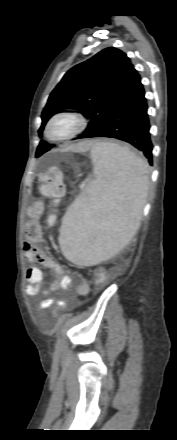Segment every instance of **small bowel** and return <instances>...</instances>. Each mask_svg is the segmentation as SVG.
<instances>
[{
  "label": "small bowel",
  "instance_id": "c3829d8e",
  "mask_svg": "<svg viewBox=\"0 0 177 440\" xmlns=\"http://www.w3.org/2000/svg\"><path fill=\"white\" fill-rule=\"evenodd\" d=\"M45 213V204L42 201H36L27 209L30 220L27 223L28 240L24 245V257L30 264L26 270V293L29 296H36L39 293L41 284L44 282V276L37 264L51 270L54 273V283L46 286L42 294L49 296L60 289H68L73 279L67 275L60 264L46 251L41 239L40 220ZM78 296H86L90 287L86 281L79 280L75 287ZM54 305H63L62 301L53 298H46L37 305L38 310L48 309Z\"/></svg>",
  "mask_w": 177,
  "mask_h": 440
}]
</instances>
